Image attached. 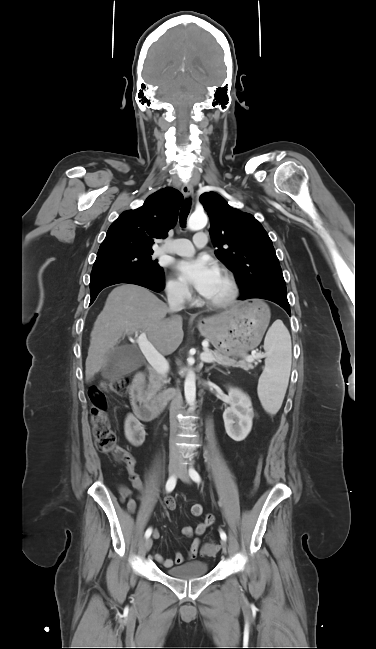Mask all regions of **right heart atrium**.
<instances>
[{
	"label": "right heart atrium",
	"mask_w": 376,
	"mask_h": 649,
	"mask_svg": "<svg viewBox=\"0 0 376 649\" xmlns=\"http://www.w3.org/2000/svg\"><path fill=\"white\" fill-rule=\"evenodd\" d=\"M165 291L167 296L178 303H187L191 300V292L182 282L170 278L166 281Z\"/></svg>",
	"instance_id": "1"
}]
</instances>
